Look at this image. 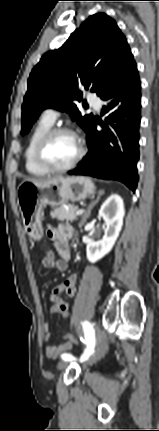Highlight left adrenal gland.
<instances>
[{
	"instance_id": "left-adrenal-gland-1",
	"label": "left adrenal gland",
	"mask_w": 159,
	"mask_h": 431,
	"mask_svg": "<svg viewBox=\"0 0 159 431\" xmlns=\"http://www.w3.org/2000/svg\"><path fill=\"white\" fill-rule=\"evenodd\" d=\"M103 194H104V191H103V190L99 191V194H98V196H97L96 200L90 203V205L88 206V208H87V210H86V212H85L84 216L82 217L81 225H82V224H84V223L86 222V220L89 218V216H90V214H91V210H92V208H93V207L95 206V204L100 200V198H101V196H102Z\"/></svg>"
}]
</instances>
